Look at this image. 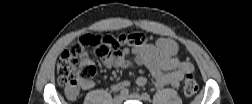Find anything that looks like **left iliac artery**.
I'll use <instances>...</instances> for the list:
<instances>
[{
    "mask_svg": "<svg viewBox=\"0 0 252 104\" xmlns=\"http://www.w3.org/2000/svg\"><path fill=\"white\" fill-rule=\"evenodd\" d=\"M142 99L145 100V101H148V100H150V95L148 93H143L142 94Z\"/></svg>",
    "mask_w": 252,
    "mask_h": 104,
    "instance_id": "44dca946",
    "label": "left iliac artery"
}]
</instances>
